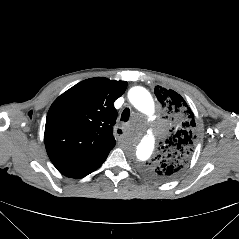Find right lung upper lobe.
I'll return each mask as SVG.
<instances>
[{
	"label": "right lung upper lobe",
	"mask_w": 239,
	"mask_h": 239,
	"mask_svg": "<svg viewBox=\"0 0 239 239\" xmlns=\"http://www.w3.org/2000/svg\"><path fill=\"white\" fill-rule=\"evenodd\" d=\"M127 82L103 77L84 80L51 105L45 125L47 154L57 170L75 177L108 156L115 146L113 105Z\"/></svg>",
	"instance_id": "1"
}]
</instances>
